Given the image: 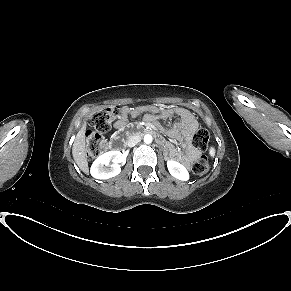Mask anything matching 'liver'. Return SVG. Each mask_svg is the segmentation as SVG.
Instances as JSON below:
<instances>
[{
	"mask_svg": "<svg viewBox=\"0 0 291 291\" xmlns=\"http://www.w3.org/2000/svg\"><path fill=\"white\" fill-rule=\"evenodd\" d=\"M85 131H86V124H83V126L77 133L75 141L73 143L72 155L76 164L80 168V170L88 174L89 167H88V161L86 159V154H85L86 153Z\"/></svg>",
	"mask_w": 291,
	"mask_h": 291,
	"instance_id": "obj_1",
	"label": "liver"
}]
</instances>
